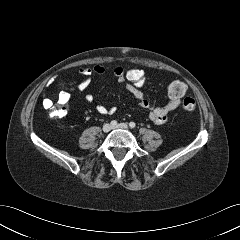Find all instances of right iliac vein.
Here are the masks:
<instances>
[{
	"label": "right iliac vein",
	"mask_w": 240,
	"mask_h": 240,
	"mask_svg": "<svg viewBox=\"0 0 240 240\" xmlns=\"http://www.w3.org/2000/svg\"><path fill=\"white\" fill-rule=\"evenodd\" d=\"M102 130L105 133L109 132L111 130V125L108 124V123L104 124L103 127H102Z\"/></svg>",
	"instance_id": "right-iliac-vein-1"
}]
</instances>
